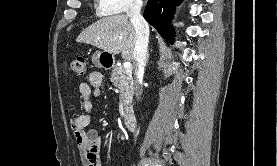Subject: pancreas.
Returning a JSON list of instances; mask_svg holds the SVG:
<instances>
[{
    "instance_id": "obj_1",
    "label": "pancreas",
    "mask_w": 277,
    "mask_h": 166,
    "mask_svg": "<svg viewBox=\"0 0 277 166\" xmlns=\"http://www.w3.org/2000/svg\"><path fill=\"white\" fill-rule=\"evenodd\" d=\"M110 80L120 90L121 110L128 112L132 107L134 91L131 71L123 66H116L111 71Z\"/></svg>"
}]
</instances>
